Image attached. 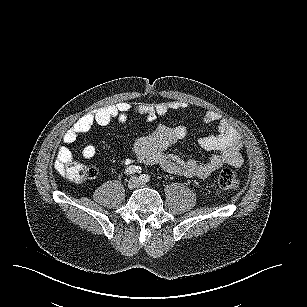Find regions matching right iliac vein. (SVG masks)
I'll list each match as a JSON object with an SVG mask.
<instances>
[{
  "instance_id": "1",
  "label": "right iliac vein",
  "mask_w": 307,
  "mask_h": 307,
  "mask_svg": "<svg viewBox=\"0 0 307 307\" xmlns=\"http://www.w3.org/2000/svg\"><path fill=\"white\" fill-rule=\"evenodd\" d=\"M138 183V178L137 177H132L129 181H128V188L130 190L134 189L136 187Z\"/></svg>"
}]
</instances>
